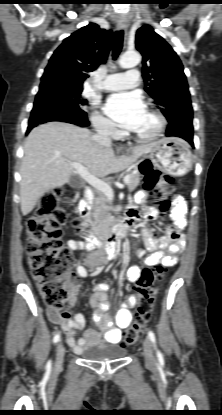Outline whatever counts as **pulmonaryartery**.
I'll return each instance as SVG.
<instances>
[{
    "label": "pulmonary artery",
    "instance_id": "pulmonary-artery-1",
    "mask_svg": "<svg viewBox=\"0 0 222 415\" xmlns=\"http://www.w3.org/2000/svg\"><path fill=\"white\" fill-rule=\"evenodd\" d=\"M138 83L139 72L136 69H132L124 73L107 75L105 80L99 85V88L104 91H117L133 88Z\"/></svg>",
    "mask_w": 222,
    "mask_h": 415
}]
</instances>
